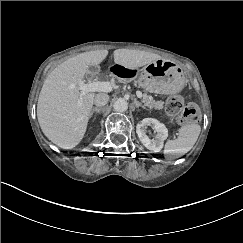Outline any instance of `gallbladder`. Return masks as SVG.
Segmentation results:
<instances>
[{
	"label": "gallbladder",
	"instance_id": "1",
	"mask_svg": "<svg viewBox=\"0 0 243 243\" xmlns=\"http://www.w3.org/2000/svg\"><path fill=\"white\" fill-rule=\"evenodd\" d=\"M99 71H100V67H98V66H91V67H89V72L91 73V76H93L95 74H98Z\"/></svg>",
	"mask_w": 243,
	"mask_h": 243
}]
</instances>
